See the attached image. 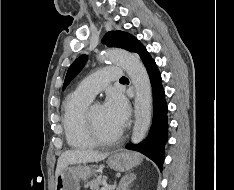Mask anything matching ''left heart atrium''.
Returning <instances> with one entry per match:
<instances>
[{"mask_svg":"<svg viewBox=\"0 0 234 190\" xmlns=\"http://www.w3.org/2000/svg\"><path fill=\"white\" fill-rule=\"evenodd\" d=\"M104 109L109 119L119 128L127 121L129 107L126 99L118 92H110L105 100Z\"/></svg>","mask_w":234,"mask_h":190,"instance_id":"obj_1","label":"left heart atrium"}]
</instances>
